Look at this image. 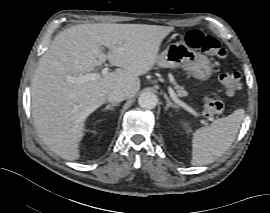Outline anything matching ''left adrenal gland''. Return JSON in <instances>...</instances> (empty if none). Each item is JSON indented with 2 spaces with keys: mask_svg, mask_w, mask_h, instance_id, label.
<instances>
[{
  "mask_svg": "<svg viewBox=\"0 0 270 213\" xmlns=\"http://www.w3.org/2000/svg\"><path fill=\"white\" fill-rule=\"evenodd\" d=\"M164 98L166 99V107L165 111L168 110L169 107L175 108V105L171 102V100L168 98L167 94H164Z\"/></svg>",
  "mask_w": 270,
  "mask_h": 213,
  "instance_id": "left-adrenal-gland-1",
  "label": "left adrenal gland"
}]
</instances>
